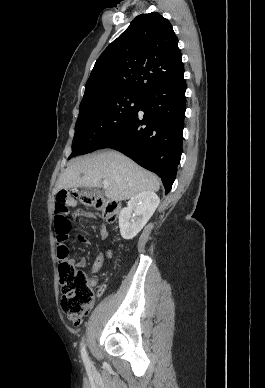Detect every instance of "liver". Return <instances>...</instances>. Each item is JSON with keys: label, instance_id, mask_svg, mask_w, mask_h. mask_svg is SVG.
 <instances>
[{"label": "liver", "instance_id": "1", "mask_svg": "<svg viewBox=\"0 0 265 388\" xmlns=\"http://www.w3.org/2000/svg\"><path fill=\"white\" fill-rule=\"evenodd\" d=\"M102 180L109 182L104 188L106 198L121 202L140 192H158L160 182L151 172L143 170L135 162L108 150L93 158H76L60 176L55 190L66 188H102Z\"/></svg>", "mask_w": 265, "mask_h": 388}]
</instances>
